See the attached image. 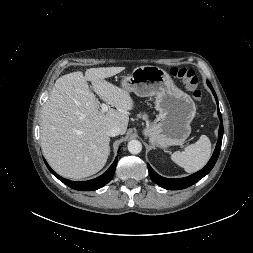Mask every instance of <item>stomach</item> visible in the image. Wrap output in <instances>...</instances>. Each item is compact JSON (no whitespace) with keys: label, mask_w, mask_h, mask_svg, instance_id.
Listing matches in <instances>:
<instances>
[{"label":"stomach","mask_w":253,"mask_h":253,"mask_svg":"<svg viewBox=\"0 0 253 253\" xmlns=\"http://www.w3.org/2000/svg\"><path fill=\"white\" fill-rule=\"evenodd\" d=\"M122 88L140 97L155 96L156 119L143 130L152 145L166 148L182 144L191 133L196 105L170 75L154 65L136 67L122 80Z\"/></svg>","instance_id":"1"}]
</instances>
